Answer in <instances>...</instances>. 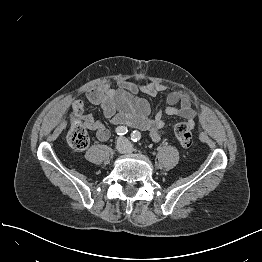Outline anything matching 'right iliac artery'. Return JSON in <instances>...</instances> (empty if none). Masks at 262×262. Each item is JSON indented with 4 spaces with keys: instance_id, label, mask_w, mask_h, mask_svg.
<instances>
[{
    "instance_id": "obj_1",
    "label": "right iliac artery",
    "mask_w": 262,
    "mask_h": 262,
    "mask_svg": "<svg viewBox=\"0 0 262 262\" xmlns=\"http://www.w3.org/2000/svg\"><path fill=\"white\" fill-rule=\"evenodd\" d=\"M127 132H128V129L126 127H124V126L116 128V133L118 135H125Z\"/></svg>"
}]
</instances>
